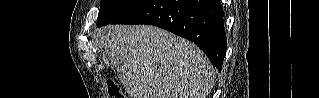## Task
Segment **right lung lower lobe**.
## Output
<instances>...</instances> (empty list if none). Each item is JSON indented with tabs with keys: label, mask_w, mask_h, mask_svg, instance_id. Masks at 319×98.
Masks as SVG:
<instances>
[{
	"label": "right lung lower lobe",
	"mask_w": 319,
	"mask_h": 98,
	"mask_svg": "<svg viewBox=\"0 0 319 98\" xmlns=\"http://www.w3.org/2000/svg\"><path fill=\"white\" fill-rule=\"evenodd\" d=\"M112 24H150L193 41L219 69L226 54L220 0H147Z\"/></svg>",
	"instance_id": "1"
}]
</instances>
